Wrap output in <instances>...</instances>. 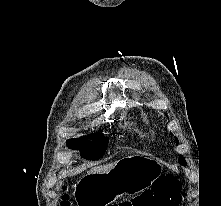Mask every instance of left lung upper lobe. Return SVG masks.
<instances>
[{"label": "left lung upper lobe", "instance_id": "left-lung-upper-lobe-1", "mask_svg": "<svg viewBox=\"0 0 221 206\" xmlns=\"http://www.w3.org/2000/svg\"><path fill=\"white\" fill-rule=\"evenodd\" d=\"M176 142L178 143V140L176 139ZM179 163L182 164V165H187L184 157L182 155L179 156Z\"/></svg>", "mask_w": 221, "mask_h": 206}]
</instances>
